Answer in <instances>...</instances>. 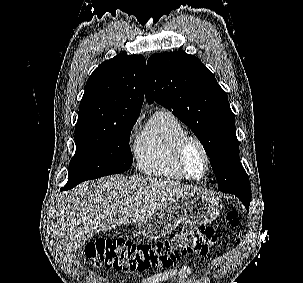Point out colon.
Listing matches in <instances>:
<instances>
[{"label": "colon", "mask_w": 303, "mask_h": 283, "mask_svg": "<svg viewBox=\"0 0 303 283\" xmlns=\"http://www.w3.org/2000/svg\"><path fill=\"white\" fill-rule=\"evenodd\" d=\"M226 219L232 226L239 223L238 213L229 209ZM216 242L210 226H184L170 237L151 243H135L116 239H97L84 249V258L101 268L141 272L168 267L187 254L206 255Z\"/></svg>", "instance_id": "1"}]
</instances>
